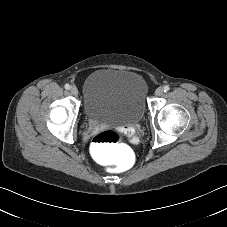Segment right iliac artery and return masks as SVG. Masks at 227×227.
Returning a JSON list of instances; mask_svg holds the SVG:
<instances>
[{"label":"right iliac artery","instance_id":"right-iliac-artery-1","mask_svg":"<svg viewBox=\"0 0 227 227\" xmlns=\"http://www.w3.org/2000/svg\"><path fill=\"white\" fill-rule=\"evenodd\" d=\"M65 89L69 90L70 89V85L69 84H65Z\"/></svg>","mask_w":227,"mask_h":227}]
</instances>
